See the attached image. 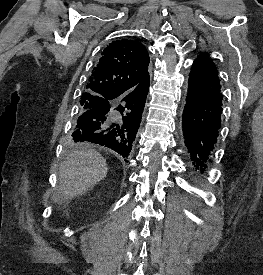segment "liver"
Here are the masks:
<instances>
[{
  "label": "liver",
  "instance_id": "liver-1",
  "mask_svg": "<svg viewBox=\"0 0 263 275\" xmlns=\"http://www.w3.org/2000/svg\"><path fill=\"white\" fill-rule=\"evenodd\" d=\"M107 172L106 160L97 151L82 149L71 153L60 166V196L56 202L86 193L103 180Z\"/></svg>",
  "mask_w": 263,
  "mask_h": 275
}]
</instances>
